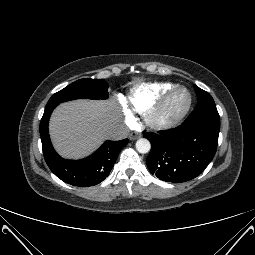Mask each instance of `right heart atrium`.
I'll return each mask as SVG.
<instances>
[{"label":"right heart atrium","mask_w":255,"mask_h":255,"mask_svg":"<svg viewBox=\"0 0 255 255\" xmlns=\"http://www.w3.org/2000/svg\"><path fill=\"white\" fill-rule=\"evenodd\" d=\"M125 116H126V121L128 123H133L135 121L133 114L128 109H125Z\"/></svg>","instance_id":"right-heart-atrium-1"}]
</instances>
